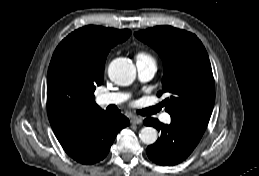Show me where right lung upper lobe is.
<instances>
[{"label":"right lung upper lobe","mask_w":259,"mask_h":176,"mask_svg":"<svg viewBox=\"0 0 259 176\" xmlns=\"http://www.w3.org/2000/svg\"><path fill=\"white\" fill-rule=\"evenodd\" d=\"M128 29L88 25L70 33L53 53L47 74V113L61 145L72 142L102 113L94 91L104 79L107 54Z\"/></svg>","instance_id":"right-lung-upper-lobe-1"}]
</instances>
